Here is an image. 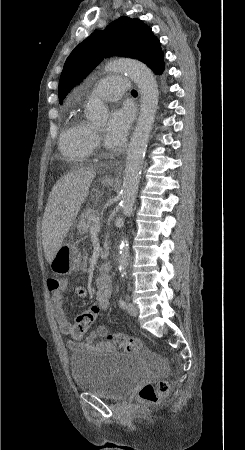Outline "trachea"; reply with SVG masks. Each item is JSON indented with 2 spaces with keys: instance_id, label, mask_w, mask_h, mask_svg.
<instances>
[{
  "instance_id": "3493384b",
  "label": "trachea",
  "mask_w": 245,
  "mask_h": 450,
  "mask_svg": "<svg viewBox=\"0 0 245 450\" xmlns=\"http://www.w3.org/2000/svg\"><path fill=\"white\" fill-rule=\"evenodd\" d=\"M131 93H132L133 95H137V91H136V90H132Z\"/></svg>"
}]
</instances>
